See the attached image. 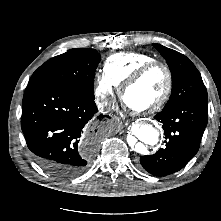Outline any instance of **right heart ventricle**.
Listing matches in <instances>:
<instances>
[{"mask_svg":"<svg viewBox=\"0 0 221 221\" xmlns=\"http://www.w3.org/2000/svg\"><path fill=\"white\" fill-rule=\"evenodd\" d=\"M156 60L143 52H122L111 55L104 65V72L117 85H122L140 66Z\"/></svg>","mask_w":221,"mask_h":221,"instance_id":"1","label":"right heart ventricle"}]
</instances>
